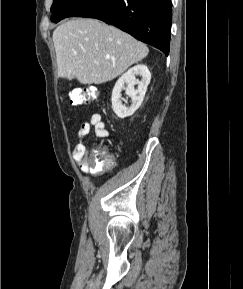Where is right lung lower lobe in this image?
I'll return each mask as SVG.
<instances>
[{
	"label": "right lung lower lobe",
	"mask_w": 243,
	"mask_h": 289,
	"mask_svg": "<svg viewBox=\"0 0 243 289\" xmlns=\"http://www.w3.org/2000/svg\"><path fill=\"white\" fill-rule=\"evenodd\" d=\"M75 16L102 20L169 54L171 0H85Z\"/></svg>",
	"instance_id": "obj_1"
}]
</instances>
